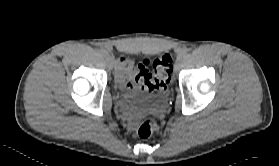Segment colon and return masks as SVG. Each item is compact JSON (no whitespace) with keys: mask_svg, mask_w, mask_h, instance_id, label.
<instances>
[{"mask_svg":"<svg viewBox=\"0 0 279 166\" xmlns=\"http://www.w3.org/2000/svg\"><path fill=\"white\" fill-rule=\"evenodd\" d=\"M152 66L150 72L148 67ZM173 58L170 54H163L153 62L144 59L136 66L135 84L145 92L164 91L171 78ZM157 122L153 118L145 119L138 128L140 138H149L157 129Z\"/></svg>","mask_w":279,"mask_h":166,"instance_id":"colon-1","label":"colon"}]
</instances>
